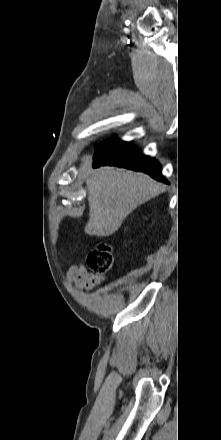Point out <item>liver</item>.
Returning a JSON list of instances; mask_svg holds the SVG:
<instances>
[{"label": "liver", "instance_id": "1", "mask_svg": "<svg viewBox=\"0 0 221 440\" xmlns=\"http://www.w3.org/2000/svg\"><path fill=\"white\" fill-rule=\"evenodd\" d=\"M87 176L89 221L85 233L107 237L114 234L124 219L138 206L158 195L163 186L145 174L126 169H92V157L82 158Z\"/></svg>", "mask_w": 221, "mask_h": 440}]
</instances>
